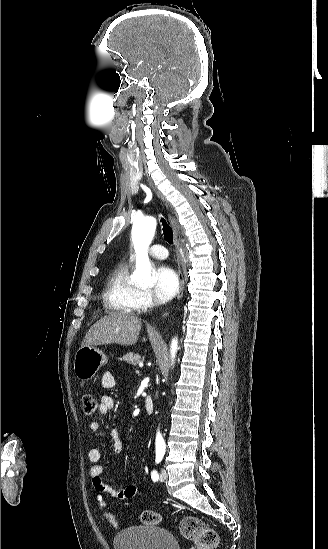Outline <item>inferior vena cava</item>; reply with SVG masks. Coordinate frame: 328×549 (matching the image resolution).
<instances>
[{
    "label": "inferior vena cava",
    "instance_id": "602c4592",
    "mask_svg": "<svg viewBox=\"0 0 328 549\" xmlns=\"http://www.w3.org/2000/svg\"><path fill=\"white\" fill-rule=\"evenodd\" d=\"M155 305H158V301H156V303H152V305H149V309H153V307H155Z\"/></svg>",
    "mask_w": 328,
    "mask_h": 549
}]
</instances>
